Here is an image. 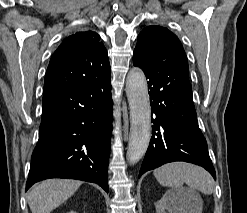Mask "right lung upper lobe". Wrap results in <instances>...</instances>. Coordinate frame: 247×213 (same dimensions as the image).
I'll use <instances>...</instances> for the list:
<instances>
[{"label": "right lung upper lobe", "mask_w": 247, "mask_h": 213, "mask_svg": "<svg viewBox=\"0 0 247 213\" xmlns=\"http://www.w3.org/2000/svg\"><path fill=\"white\" fill-rule=\"evenodd\" d=\"M110 74V65L100 36L92 31L67 37L53 54L44 81V96L58 89Z\"/></svg>", "instance_id": "1"}]
</instances>
